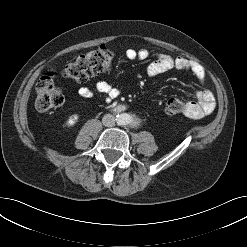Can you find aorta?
I'll return each mask as SVG.
<instances>
[{"mask_svg": "<svg viewBox=\"0 0 247 247\" xmlns=\"http://www.w3.org/2000/svg\"><path fill=\"white\" fill-rule=\"evenodd\" d=\"M116 121L118 123V125H128L132 122V117L131 115L127 114V113H122L120 115L117 116Z\"/></svg>", "mask_w": 247, "mask_h": 247, "instance_id": "obj_1", "label": "aorta"}]
</instances>
